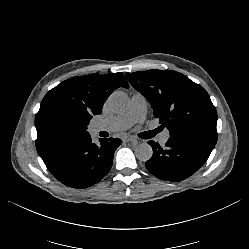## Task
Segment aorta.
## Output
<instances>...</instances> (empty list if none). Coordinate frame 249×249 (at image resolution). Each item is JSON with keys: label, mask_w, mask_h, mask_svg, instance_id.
<instances>
[{"label": "aorta", "mask_w": 249, "mask_h": 249, "mask_svg": "<svg viewBox=\"0 0 249 249\" xmlns=\"http://www.w3.org/2000/svg\"><path fill=\"white\" fill-rule=\"evenodd\" d=\"M107 105L111 111L122 113L128 109L129 98L124 92L115 91L109 96ZM152 154V147L148 143H141L135 148V156L140 161H148Z\"/></svg>", "instance_id": "aorta-1"}]
</instances>
